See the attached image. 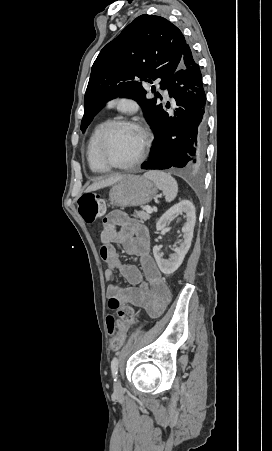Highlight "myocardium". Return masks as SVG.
I'll use <instances>...</instances> for the list:
<instances>
[{
  "instance_id": "obj_1",
  "label": "myocardium",
  "mask_w": 272,
  "mask_h": 451,
  "mask_svg": "<svg viewBox=\"0 0 272 451\" xmlns=\"http://www.w3.org/2000/svg\"><path fill=\"white\" fill-rule=\"evenodd\" d=\"M116 126H123L134 129L137 132V138L134 144L132 154L127 162L119 166H108L104 159V149L110 131ZM147 139L148 135L145 129L134 121L124 119H114L108 121L100 132L96 147L97 159L100 165L101 172H119L126 169L127 166L133 163L141 154Z\"/></svg>"
}]
</instances>
